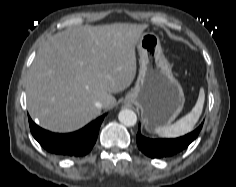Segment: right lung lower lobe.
<instances>
[{"label": "right lung lower lobe", "instance_id": "right-lung-lower-lobe-1", "mask_svg": "<svg viewBox=\"0 0 236 187\" xmlns=\"http://www.w3.org/2000/svg\"><path fill=\"white\" fill-rule=\"evenodd\" d=\"M104 115L84 128L68 134L52 133L37 126L29 117V126L33 137L48 152L59 156L81 157L93 148Z\"/></svg>", "mask_w": 236, "mask_h": 187}]
</instances>
